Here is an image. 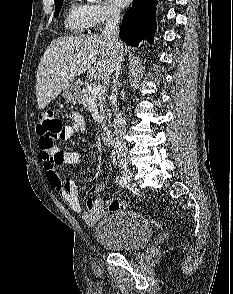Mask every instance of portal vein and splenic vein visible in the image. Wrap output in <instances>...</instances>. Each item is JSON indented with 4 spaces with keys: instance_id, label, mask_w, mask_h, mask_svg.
Listing matches in <instances>:
<instances>
[{
    "instance_id": "obj_1",
    "label": "portal vein and splenic vein",
    "mask_w": 233,
    "mask_h": 294,
    "mask_svg": "<svg viewBox=\"0 0 233 294\" xmlns=\"http://www.w3.org/2000/svg\"><path fill=\"white\" fill-rule=\"evenodd\" d=\"M103 92H104V87L101 84L94 86L92 89V94L94 97L101 96Z\"/></svg>"
}]
</instances>
